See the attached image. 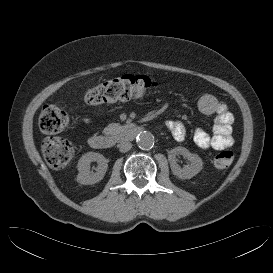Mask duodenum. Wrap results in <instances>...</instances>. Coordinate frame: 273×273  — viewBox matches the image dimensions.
I'll return each instance as SVG.
<instances>
[{
    "instance_id": "obj_1",
    "label": "duodenum",
    "mask_w": 273,
    "mask_h": 273,
    "mask_svg": "<svg viewBox=\"0 0 273 273\" xmlns=\"http://www.w3.org/2000/svg\"><path fill=\"white\" fill-rule=\"evenodd\" d=\"M122 128V135L124 138H135L142 132V128L138 125L125 124ZM88 143L93 149L104 150L114 146L115 138L108 135H93L89 138Z\"/></svg>"
}]
</instances>
